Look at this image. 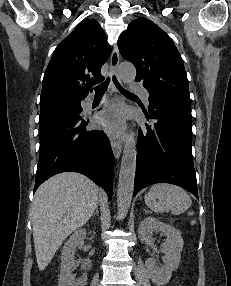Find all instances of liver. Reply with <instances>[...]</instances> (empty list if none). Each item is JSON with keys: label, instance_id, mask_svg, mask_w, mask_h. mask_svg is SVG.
<instances>
[{"label": "liver", "instance_id": "1", "mask_svg": "<svg viewBox=\"0 0 231 286\" xmlns=\"http://www.w3.org/2000/svg\"><path fill=\"white\" fill-rule=\"evenodd\" d=\"M98 204L97 186L87 177L64 172L36 191L31 209L37 265L44 270L63 241L91 218Z\"/></svg>", "mask_w": 231, "mask_h": 286}]
</instances>
